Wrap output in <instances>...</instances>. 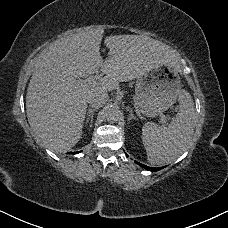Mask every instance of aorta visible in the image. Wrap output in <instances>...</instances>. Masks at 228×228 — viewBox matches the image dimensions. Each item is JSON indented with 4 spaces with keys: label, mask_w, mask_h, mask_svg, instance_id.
Masks as SVG:
<instances>
[{
    "label": "aorta",
    "mask_w": 228,
    "mask_h": 228,
    "mask_svg": "<svg viewBox=\"0 0 228 228\" xmlns=\"http://www.w3.org/2000/svg\"><path fill=\"white\" fill-rule=\"evenodd\" d=\"M119 110L116 107H110L106 113V119L110 122H115L118 119Z\"/></svg>",
    "instance_id": "obj_1"
}]
</instances>
